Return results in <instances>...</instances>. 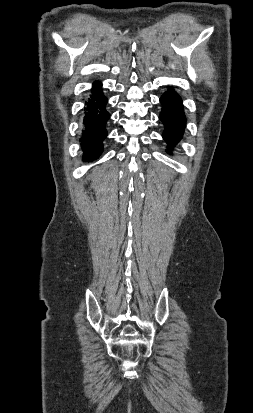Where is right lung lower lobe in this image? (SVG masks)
I'll use <instances>...</instances> for the list:
<instances>
[{
    "mask_svg": "<svg viewBox=\"0 0 253 413\" xmlns=\"http://www.w3.org/2000/svg\"><path fill=\"white\" fill-rule=\"evenodd\" d=\"M107 98L101 91V83L93 85L92 94L86 102L83 117L81 146L84 151L83 160L92 161L103 151V140L107 136L105 125L110 115L105 110Z\"/></svg>",
    "mask_w": 253,
    "mask_h": 413,
    "instance_id": "obj_1",
    "label": "right lung lower lobe"
}]
</instances>
